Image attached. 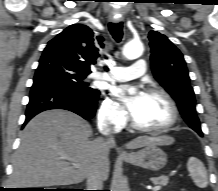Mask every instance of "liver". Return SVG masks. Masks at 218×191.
<instances>
[{"label": "liver", "instance_id": "obj_1", "mask_svg": "<svg viewBox=\"0 0 218 191\" xmlns=\"http://www.w3.org/2000/svg\"><path fill=\"white\" fill-rule=\"evenodd\" d=\"M90 124L66 110H48L35 116L21 134L20 146L13 159L10 178L15 188L65 186L84 181L89 172L100 167L108 178L109 150L103 138L90 140ZM170 136H141L126 144L137 149L149 144L171 145ZM65 153L74 162L62 159Z\"/></svg>", "mask_w": 218, "mask_h": 191}]
</instances>
